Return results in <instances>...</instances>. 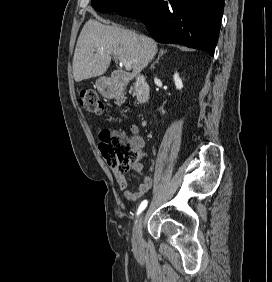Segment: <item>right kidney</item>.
I'll return each instance as SVG.
<instances>
[{
  "mask_svg": "<svg viewBox=\"0 0 272 282\" xmlns=\"http://www.w3.org/2000/svg\"><path fill=\"white\" fill-rule=\"evenodd\" d=\"M173 79H174V83H175L176 88L178 90H181L183 88V83H182V80L179 77V74L175 73L174 76H173ZM162 112L164 113L163 110H162Z\"/></svg>",
  "mask_w": 272,
  "mask_h": 282,
  "instance_id": "ca27d5eb",
  "label": "right kidney"
}]
</instances>
